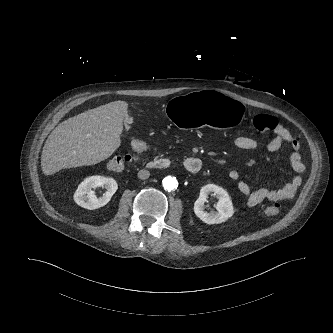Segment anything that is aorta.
<instances>
[{
  "label": "aorta",
  "mask_w": 333,
  "mask_h": 333,
  "mask_svg": "<svg viewBox=\"0 0 333 333\" xmlns=\"http://www.w3.org/2000/svg\"><path fill=\"white\" fill-rule=\"evenodd\" d=\"M178 186V181L175 177L167 176L163 179V187L165 190L172 191Z\"/></svg>",
  "instance_id": "aorta-1"
}]
</instances>
